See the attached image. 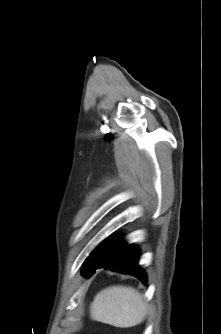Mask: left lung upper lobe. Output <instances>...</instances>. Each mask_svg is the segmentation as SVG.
Instances as JSON below:
<instances>
[{"mask_svg": "<svg viewBox=\"0 0 221 334\" xmlns=\"http://www.w3.org/2000/svg\"><path fill=\"white\" fill-rule=\"evenodd\" d=\"M93 263V255H91L89 258H87V260L84 263V267H88L89 265H91ZM83 267V268H84Z\"/></svg>", "mask_w": 221, "mask_h": 334, "instance_id": "1", "label": "left lung upper lobe"}]
</instances>
